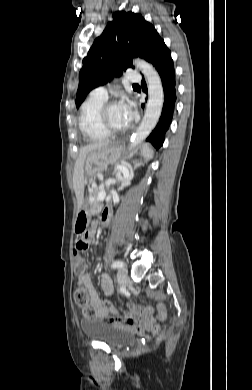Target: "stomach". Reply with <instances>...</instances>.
I'll use <instances>...</instances> for the list:
<instances>
[{
  "instance_id": "0dacf381",
  "label": "stomach",
  "mask_w": 252,
  "mask_h": 390,
  "mask_svg": "<svg viewBox=\"0 0 252 390\" xmlns=\"http://www.w3.org/2000/svg\"><path fill=\"white\" fill-rule=\"evenodd\" d=\"M121 152L120 146H106L98 150L90 152L85 160L84 172L88 178L106 169L108 164L114 163ZM91 220V206L86 201L83 202L78 210L75 221L74 231L76 233L83 232L89 225Z\"/></svg>"
}]
</instances>
